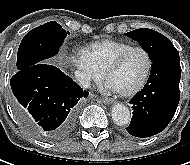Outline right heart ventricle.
Listing matches in <instances>:
<instances>
[{
    "label": "right heart ventricle",
    "mask_w": 190,
    "mask_h": 165,
    "mask_svg": "<svg viewBox=\"0 0 190 165\" xmlns=\"http://www.w3.org/2000/svg\"><path fill=\"white\" fill-rule=\"evenodd\" d=\"M130 46V43L124 41L107 39L90 44L88 51L96 66L104 73L111 61Z\"/></svg>",
    "instance_id": "1"
}]
</instances>
